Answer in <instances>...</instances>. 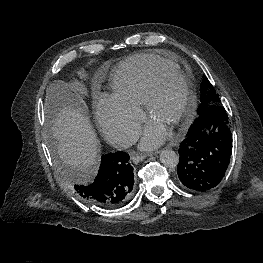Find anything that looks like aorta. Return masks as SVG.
<instances>
[{"label":"aorta","instance_id":"aorta-1","mask_svg":"<svg viewBox=\"0 0 263 263\" xmlns=\"http://www.w3.org/2000/svg\"><path fill=\"white\" fill-rule=\"evenodd\" d=\"M160 161L164 166L173 168L178 165L179 156L173 150L165 149L160 153Z\"/></svg>","mask_w":263,"mask_h":263}]
</instances>
